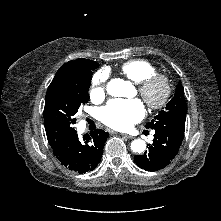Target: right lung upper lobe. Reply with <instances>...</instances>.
Listing matches in <instances>:
<instances>
[{
    "instance_id": "obj_1",
    "label": "right lung upper lobe",
    "mask_w": 221,
    "mask_h": 221,
    "mask_svg": "<svg viewBox=\"0 0 221 221\" xmlns=\"http://www.w3.org/2000/svg\"><path fill=\"white\" fill-rule=\"evenodd\" d=\"M99 65L91 60L79 58L77 60L69 61L62 65L59 70L57 71L54 79L52 82H56L59 80H68L71 73L77 69H94L97 68Z\"/></svg>"
}]
</instances>
